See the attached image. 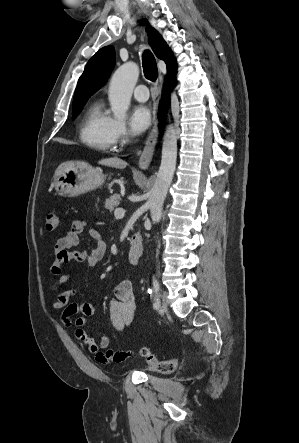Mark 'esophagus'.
Instances as JSON below:
<instances>
[{"label": "esophagus", "mask_w": 299, "mask_h": 443, "mask_svg": "<svg viewBox=\"0 0 299 443\" xmlns=\"http://www.w3.org/2000/svg\"><path fill=\"white\" fill-rule=\"evenodd\" d=\"M157 138H158V128H157V118L155 117L153 126L145 142L144 149L139 159L138 165L140 169L146 170L149 167L154 154Z\"/></svg>", "instance_id": "obj_1"}]
</instances>
